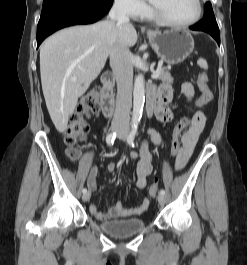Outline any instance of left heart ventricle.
Wrapping results in <instances>:
<instances>
[{
	"instance_id": "left-heart-ventricle-1",
	"label": "left heart ventricle",
	"mask_w": 247,
	"mask_h": 265,
	"mask_svg": "<svg viewBox=\"0 0 247 265\" xmlns=\"http://www.w3.org/2000/svg\"><path fill=\"white\" fill-rule=\"evenodd\" d=\"M166 17L174 22L191 20L197 12L196 0H150Z\"/></svg>"
}]
</instances>
